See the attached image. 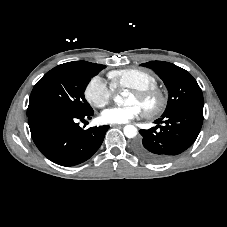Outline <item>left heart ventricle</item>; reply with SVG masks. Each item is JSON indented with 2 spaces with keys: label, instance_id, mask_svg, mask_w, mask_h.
Instances as JSON below:
<instances>
[{
  "label": "left heart ventricle",
  "instance_id": "1",
  "mask_svg": "<svg viewBox=\"0 0 227 227\" xmlns=\"http://www.w3.org/2000/svg\"><path fill=\"white\" fill-rule=\"evenodd\" d=\"M126 103L131 105V104H136L143 109L146 105L140 102L133 94H130L126 100Z\"/></svg>",
  "mask_w": 227,
  "mask_h": 227
}]
</instances>
